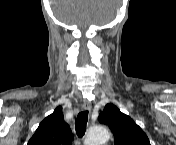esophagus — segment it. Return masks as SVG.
Returning a JSON list of instances; mask_svg holds the SVG:
<instances>
[{
    "mask_svg": "<svg viewBox=\"0 0 176 145\" xmlns=\"http://www.w3.org/2000/svg\"><path fill=\"white\" fill-rule=\"evenodd\" d=\"M83 111H90L91 110V103L89 101H84L82 104Z\"/></svg>",
    "mask_w": 176,
    "mask_h": 145,
    "instance_id": "obj_1",
    "label": "esophagus"
}]
</instances>
